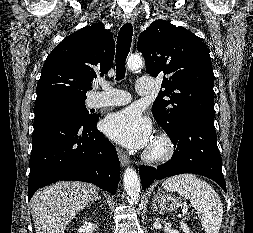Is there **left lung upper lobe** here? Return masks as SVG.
<instances>
[{
	"label": "left lung upper lobe",
	"mask_w": 253,
	"mask_h": 233,
	"mask_svg": "<svg viewBox=\"0 0 253 233\" xmlns=\"http://www.w3.org/2000/svg\"><path fill=\"white\" fill-rule=\"evenodd\" d=\"M137 48L149 74L165 75L164 90L152 113L170 138L177 135L182 121L199 116L214 119V73L209 51L199 37L158 19L140 34Z\"/></svg>",
	"instance_id": "left-lung-upper-lobe-1"
}]
</instances>
